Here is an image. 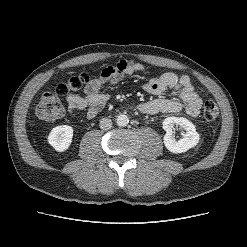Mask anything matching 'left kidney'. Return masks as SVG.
<instances>
[{
	"instance_id": "obj_1",
	"label": "left kidney",
	"mask_w": 247,
	"mask_h": 247,
	"mask_svg": "<svg viewBox=\"0 0 247 247\" xmlns=\"http://www.w3.org/2000/svg\"><path fill=\"white\" fill-rule=\"evenodd\" d=\"M179 125L185 130L183 137L176 139L173 135L174 126ZM163 129L166 131L164 135V145L172 153H183L196 146L199 142V134L192 122L183 117H168L163 121Z\"/></svg>"
}]
</instances>
